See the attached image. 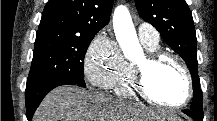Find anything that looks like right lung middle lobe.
<instances>
[{
    "label": "right lung middle lobe",
    "mask_w": 217,
    "mask_h": 121,
    "mask_svg": "<svg viewBox=\"0 0 217 121\" xmlns=\"http://www.w3.org/2000/svg\"><path fill=\"white\" fill-rule=\"evenodd\" d=\"M94 36L55 28L38 30L26 88L55 77L69 78L76 85L86 87L84 56Z\"/></svg>",
    "instance_id": "obj_1"
}]
</instances>
